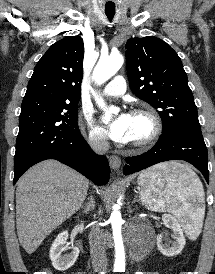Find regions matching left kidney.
Here are the masks:
<instances>
[{"instance_id":"left-kidney-1","label":"left kidney","mask_w":215,"mask_h":274,"mask_svg":"<svg viewBox=\"0 0 215 274\" xmlns=\"http://www.w3.org/2000/svg\"><path fill=\"white\" fill-rule=\"evenodd\" d=\"M162 220L165 226L172 230L171 236L174 241H170L167 235H158V250L167 257L178 255L183 250L186 243L182 228L177 219L170 214H164Z\"/></svg>"}]
</instances>
